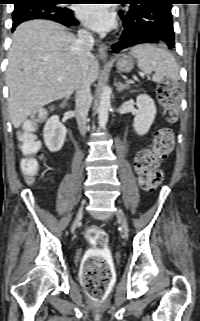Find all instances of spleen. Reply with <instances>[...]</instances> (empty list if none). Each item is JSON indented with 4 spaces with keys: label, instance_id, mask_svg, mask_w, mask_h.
Listing matches in <instances>:
<instances>
[{
    "label": "spleen",
    "instance_id": "3e777b00",
    "mask_svg": "<svg viewBox=\"0 0 200 321\" xmlns=\"http://www.w3.org/2000/svg\"><path fill=\"white\" fill-rule=\"evenodd\" d=\"M130 54L137 59L141 75L155 72L156 80H161L164 77L173 81L180 79L176 59L165 48L152 44H140L132 47Z\"/></svg>",
    "mask_w": 200,
    "mask_h": 321
}]
</instances>
